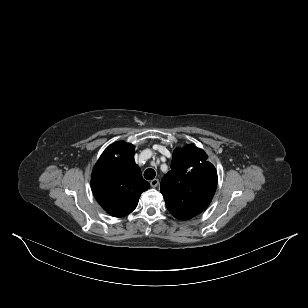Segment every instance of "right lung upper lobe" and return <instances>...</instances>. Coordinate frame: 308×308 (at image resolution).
Here are the masks:
<instances>
[{"label": "right lung upper lobe", "mask_w": 308, "mask_h": 308, "mask_svg": "<svg viewBox=\"0 0 308 308\" xmlns=\"http://www.w3.org/2000/svg\"><path fill=\"white\" fill-rule=\"evenodd\" d=\"M150 185L134 161V146L123 141L111 144L97 161L91 188L101 207L111 216L123 217L137 206Z\"/></svg>", "instance_id": "right-lung-upper-lobe-1"}]
</instances>
